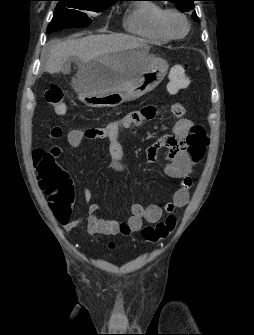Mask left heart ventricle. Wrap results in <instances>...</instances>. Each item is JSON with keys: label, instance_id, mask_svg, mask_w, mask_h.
<instances>
[{"label": "left heart ventricle", "instance_id": "1", "mask_svg": "<svg viewBox=\"0 0 254 335\" xmlns=\"http://www.w3.org/2000/svg\"><path fill=\"white\" fill-rule=\"evenodd\" d=\"M165 25L167 30L175 36L182 35L186 30L185 22L179 16L172 14L165 18Z\"/></svg>", "mask_w": 254, "mask_h": 335}]
</instances>
